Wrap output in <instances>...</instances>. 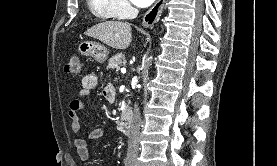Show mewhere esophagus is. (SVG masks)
Wrapping results in <instances>:
<instances>
[{
    "label": "esophagus",
    "instance_id": "esophagus-1",
    "mask_svg": "<svg viewBox=\"0 0 277 166\" xmlns=\"http://www.w3.org/2000/svg\"><path fill=\"white\" fill-rule=\"evenodd\" d=\"M165 0H156L155 4L146 12L142 25L145 28L153 26L160 18Z\"/></svg>",
    "mask_w": 277,
    "mask_h": 166
}]
</instances>
